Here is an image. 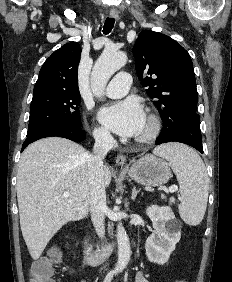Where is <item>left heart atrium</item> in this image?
Masks as SVG:
<instances>
[{"instance_id": "1", "label": "left heart atrium", "mask_w": 232, "mask_h": 282, "mask_svg": "<svg viewBox=\"0 0 232 282\" xmlns=\"http://www.w3.org/2000/svg\"><path fill=\"white\" fill-rule=\"evenodd\" d=\"M99 120L108 129L123 137L137 136L146 117L142 105L135 98H128L103 107Z\"/></svg>"}]
</instances>
